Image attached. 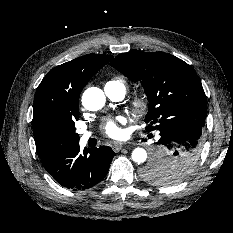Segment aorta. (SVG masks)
Listing matches in <instances>:
<instances>
[{"instance_id": "762f6f07", "label": "aorta", "mask_w": 233, "mask_h": 233, "mask_svg": "<svg viewBox=\"0 0 233 233\" xmlns=\"http://www.w3.org/2000/svg\"><path fill=\"white\" fill-rule=\"evenodd\" d=\"M106 97L104 92L97 87L86 89L82 96V104L89 111H98L105 105ZM132 159L136 163H143L147 159V152L143 148H135L132 152Z\"/></svg>"}]
</instances>
